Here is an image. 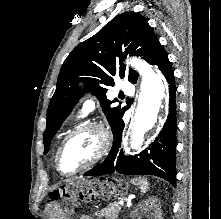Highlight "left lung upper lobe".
<instances>
[{"mask_svg":"<svg viewBox=\"0 0 221 219\" xmlns=\"http://www.w3.org/2000/svg\"><path fill=\"white\" fill-rule=\"evenodd\" d=\"M160 45L147 20L134 11H126L76 46L62 65L57 87L47 110V126L43 136L44 154L48 152L56 131L84 93L77 86L80 81L86 83V91H92L100 100L114 133L126 108L111 106L113 102L106 97V86L114 85L115 75L128 77L135 84L138 74L132 69L127 71L122 64L123 59L130 54L141 56L150 63Z\"/></svg>","mask_w":221,"mask_h":219,"instance_id":"obj_1","label":"left lung upper lobe"}]
</instances>
